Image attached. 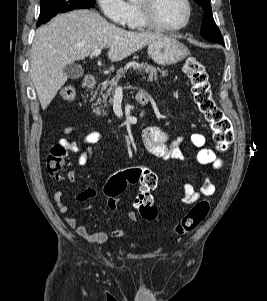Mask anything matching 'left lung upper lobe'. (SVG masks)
Returning a JSON list of instances; mask_svg holds the SVG:
<instances>
[{"mask_svg": "<svg viewBox=\"0 0 267 301\" xmlns=\"http://www.w3.org/2000/svg\"><path fill=\"white\" fill-rule=\"evenodd\" d=\"M199 5L202 6L204 10L201 36L206 40L212 41L214 43L223 44V38L220 30L216 26V23L213 19L210 0H194Z\"/></svg>", "mask_w": 267, "mask_h": 301, "instance_id": "5c2ea615", "label": "left lung upper lobe"}]
</instances>
